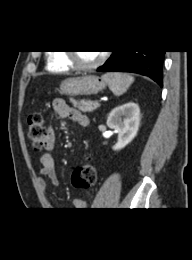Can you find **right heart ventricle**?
<instances>
[{
  "instance_id": "1",
  "label": "right heart ventricle",
  "mask_w": 192,
  "mask_h": 260,
  "mask_svg": "<svg viewBox=\"0 0 192 260\" xmlns=\"http://www.w3.org/2000/svg\"><path fill=\"white\" fill-rule=\"evenodd\" d=\"M47 68L51 72L62 73L68 72L73 67L67 61L65 54L57 51L49 54Z\"/></svg>"
}]
</instances>
